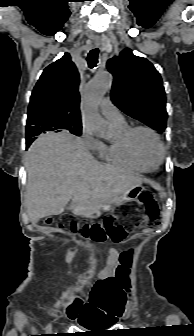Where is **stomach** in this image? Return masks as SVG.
Instances as JSON below:
<instances>
[{
	"instance_id": "0dacf381",
	"label": "stomach",
	"mask_w": 194,
	"mask_h": 336,
	"mask_svg": "<svg viewBox=\"0 0 194 336\" xmlns=\"http://www.w3.org/2000/svg\"><path fill=\"white\" fill-rule=\"evenodd\" d=\"M142 189H143V187L141 185L136 187V188H133L128 193L122 195L119 198V200L116 202V204L122 203L124 201H129V200L135 199L137 197L138 193L140 192V190H142ZM112 209H113L112 205L105 206V207L102 208L103 211H109V210H112ZM100 214H101V210H97V211H94V212L84 214L83 216L89 217V218H97V217L100 216Z\"/></svg>"
}]
</instances>
